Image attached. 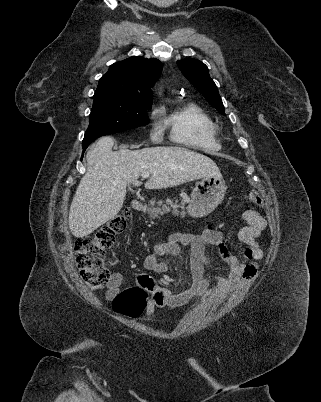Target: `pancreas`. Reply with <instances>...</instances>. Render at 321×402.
Instances as JSON below:
<instances>
[{"mask_svg": "<svg viewBox=\"0 0 321 402\" xmlns=\"http://www.w3.org/2000/svg\"><path fill=\"white\" fill-rule=\"evenodd\" d=\"M189 201V199L188 198H183L182 200H181V203L180 204H178V200H176L175 201V203L171 200V199H167L166 200V204H163V201L162 200H160V201H158V205L159 206H161L162 205V208H160V207H153V208H148L147 209V213L149 214V216L151 217V218H155V217H159V216H161V215H164L165 213H168V212H170V210H171V208H172V213L174 214V215H180L181 217H184L185 216V211H184V209H185V204L187 203ZM178 208H181V212H179V210H178Z\"/></svg>", "mask_w": 321, "mask_h": 402, "instance_id": "cf45deb5", "label": "pancreas"}]
</instances>
